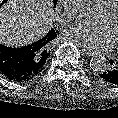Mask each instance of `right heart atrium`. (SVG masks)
I'll return each instance as SVG.
<instances>
[{
    "mask_svg": "<svg viewBox=\"0 0 118 118\" xmlns=\"http://www.w3.org/2000/svg\"><path fill=\"white\" fill-rule=\"evenodd\" d=\"M77 0H61V6L56 11V19L60 23H66L74 19L72 10L73 4Z\"/></svg>",
    "mask_w": 118,
    "mask_h": 118,
    "instance_id": "d8ad5b80",
    "label": "right heart atrium"
}]
</instances>
